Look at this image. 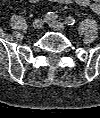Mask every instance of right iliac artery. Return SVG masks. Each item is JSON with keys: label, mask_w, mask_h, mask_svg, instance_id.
I'll use <instances>...</instances> for the list:
<instances>
[{"label": "right iliac artery", "mask_w": 100, "mask_h": 118, "mask_svg": "<svg viewBox=\"0 0 100 118\" xmlns=\"http://www.w3.org/2000/svg\"><path fill=\"white\" fill-rule=\"evenodd\" d=\"M57 19V14L54 12H48L45 14V20H56Z\"/></svg>", "instance_id": "obj_1"}]
</instances>
